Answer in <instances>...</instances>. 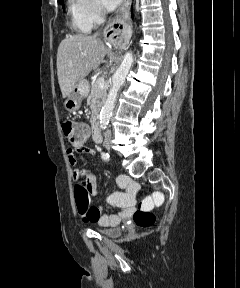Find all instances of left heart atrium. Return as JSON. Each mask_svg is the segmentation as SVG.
<instances>
[{
  "instance_id": "1",
  "label": "left heart atrium",
  "mask_w": 240,
  "mask_h": 288,
  "mask_svg": "<svg viewBox=\"0 0 240 288\" xmlns=\"http://www.w3.org/2000/svg\"><path fill=\"white\" fill-rule=\"evenodd\" d=\"M101 1L108 10L114 9L121 2V0H101Z\"/></svg>"
}]
</instances>
